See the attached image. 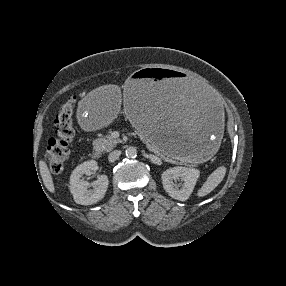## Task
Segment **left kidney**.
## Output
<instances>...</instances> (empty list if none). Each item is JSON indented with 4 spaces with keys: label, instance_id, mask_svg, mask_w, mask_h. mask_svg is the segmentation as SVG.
<instances>
[{
    "label": "left kidney",
    "instance_id": "left-kidney-1",
    "mask_svg": "<svg viewBox=\"0 0 286 286\" xmlns=\"http://www.w3.org/2000/svg\"><path fill=\"white\" fill-rule=\"evenodd\" d=\"M199 175V170L195 168L177 166L165 170L161 177L163 187L169 196L179 201H186L191 195ZM179 179L184 182L182 188L173 182Z\"/></svg>",
    "mask_w": 286,
    "mask_h": 286
}]
</instances>
